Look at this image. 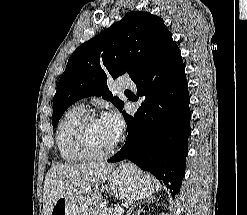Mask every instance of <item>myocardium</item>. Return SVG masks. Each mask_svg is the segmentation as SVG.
<instances>
[{"label":"myocardium","instance_id":"1","mask_svg":"<svg viewBox=\"0 0 247 215\" xmlns=\"http://www.w3.org/2000/svg\"><path fill=\"white\" fill-rule=\"evenodd\" d=\"M100 119L96 113L84 114L76 123L73 130V140L77 151L87 160H103L111 156L119 145V139L105 151L97 152L91 149L86 137L87 125L93 121Z\"/></svg>","mask_w":247,"mask_h":215}]
</instances>
